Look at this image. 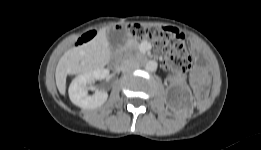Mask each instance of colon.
<instances>
[{"instance_id":"colon-1","label":"colon","mask_w":261,"mask_h":150,"mask_svg":"<svg viewBox=\"0 0 261 150\" xmlns=\"http://www.w3.org/2000/svg\"><path fill=\"white\" fill-rule=\"evenodd\" d=\"M129 34L140 40L149 39L156 43L167 56L166 64L174 72H185L191 65V57L185 46V34L174 27H153L146 24H130ZM96 36L95 31L82 35L78 44L91 41Z\"/></svg>"}]
</instances>
